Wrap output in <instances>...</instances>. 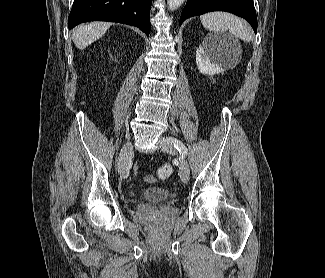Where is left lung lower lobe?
<instances>
[{
    "instance_id": "1",
    "label": "left lung lower lobe",
    "mask_w": 325,
    "mask_h": 278,
    "mask_svg": "<svg viewBox=\"0 0 325 278\" xmlns=\"http://www.w3.org/2000/svg\"><path fill=\"white\" fill-rule=\"evenodd\" d=\"M211 11H226L246 19L257 31V17L253 0H187L180 17L182 22L192 16Z\"/></svg>"
}]
</instances>
